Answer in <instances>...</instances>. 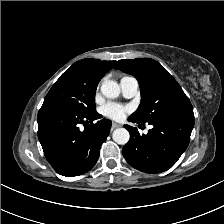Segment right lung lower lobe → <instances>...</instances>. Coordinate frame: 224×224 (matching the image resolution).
Returning <instances> with one entry per match:
<instances>
[{
	"instance_id": "right-lung-lower-lobe-1",
	"label": "right lung lower lobe",
	"mask_w": 224,
	"mask_h": 224,
	"mask_svg": "<svg viewBox=\"0 0 224 224\" xmlns=\"http://www.w3.org/2000/svg\"><path fill=\"white\" fill-rule=\"evenodd\" d=\"M100 117L97 112L80 115L55 105H42L37 117L38 138L46 159L57 173L67 177L78 176L95 165L101 144L111 128L108 119L92 124ZM85 123L88 126L81 131L79 124Z\"/></svg>"
}]
</instances>
